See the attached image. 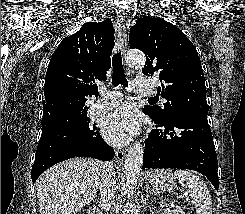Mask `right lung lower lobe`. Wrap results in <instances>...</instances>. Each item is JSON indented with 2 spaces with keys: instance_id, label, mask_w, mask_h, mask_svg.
<instances>
[{
  "instance_id": "98d812e1",
  "label": "right lung lower lobe",
  "mask_w": 245,
  "mask_h": 214,
  "mask_svg": "<svg viewBox=\"0 0 245 214\" xmlns=\"http://www.w3.org/2000/svg\"><path fill=\"white\" fill-rule=\"evenodd\" d=\"M94 129L90 128V141L87 143H82L75 133L60 134L55 138H40L31 171L33 183L45 170L69 158L91 157L103 161L112 160L114 150Z\"/></svg>"
}]
</instances>
